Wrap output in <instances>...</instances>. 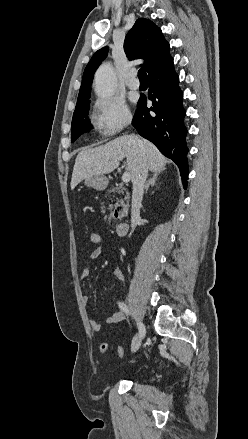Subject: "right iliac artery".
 Masks as SVG:
<instances>
[{
	"label": "right iliac artery",
	"instance_id": "right-iliac-artery-1",
	"mask_svg": "<svg viewBox=\"0 0 248 439\" xmlns=\"http://www.w3.org/2000/svg\"><path fill=\"white\" fill-rule=\"evenodd\" d=\"M118 304H119V307H120L125 313L129 314L128 307H127L124 303L119 302ZM135 326H136L137 328H139V334H138V335H139L140 337L146 335V325H144L143 322L137 323Z\"/></svg>",
	"mask_w": 248,
	"mask_h": 439
}]
</instances>
